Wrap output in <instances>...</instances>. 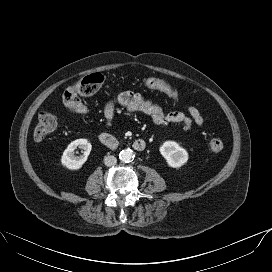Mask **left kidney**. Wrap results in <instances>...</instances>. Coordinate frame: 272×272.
Wrapping results in <instances>:
<instances>
[{
    "label": "left kidney",
    "instance_id": "5707ae66",
    "mask_svg": "<svg viewBox=\"0 0 272 272\" xmlns=\"http://www.w3.org/2000/svg\"><path fill=\"white\" fill-rule=\"evenodd\" d=\"M159 151L172 168H179L188 161L187 151L175 141H165Z\"/></svg>",
    "mask_w": 272,
    "mask_h": 272
}]
</instances>
